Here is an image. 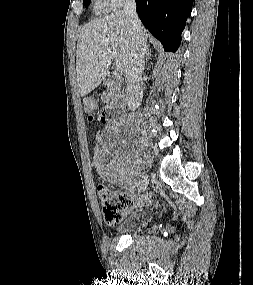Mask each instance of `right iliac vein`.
I'll use <instances>...</instances> for the list:
<instances>
[{
    "instance_id": "right-iliac-vein-1",
    "label": "right iliac vein",
    "mask_w": 253,
    "mask_h": 285,
    "mask_svg": "<svg viewBox=\"0 0 253 285\" xmlns=\"http://www.w3.org/2000/svg\"><path fill=\"white\" fill-rule=\"evenodd\" d=\"M147 186H148V179L147 177H143L138 183L139 192L145 191Z\"/></svg>"
}]
</instances>
